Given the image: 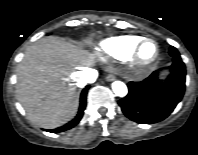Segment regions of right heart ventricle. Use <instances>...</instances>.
I'll return each mask as SVG.
<instances>
[{
  "instance_id": "obj_1",
  "label": "right heart ventricle",
  "mask_w": 198,
  "mask_h": 155,
  "mask_svg": "<svg viewBox=\"0 0 198 155\" xmlns=\"http://www.w3.org/2000/svg\"><path fill=\"white\" fill-rule=\"evenodd\" d=\"M141 38L137 36H119L105 39L101 49L110 57L122 59L130 53Z\"/></svg>"
}]
</instances>
